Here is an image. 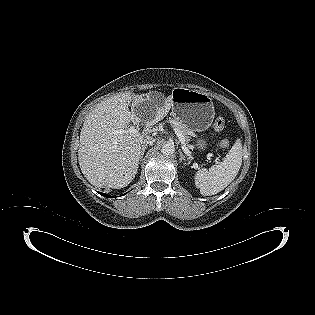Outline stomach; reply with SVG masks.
I'll return each instance as SVG.
<instances>
[{
  "mask_svg": "<svg viewBox=\"0 0 315 315\" xmlns=\"http://www.w3.org/2000/svg\"><path fill=\"white\" fill-rule=\"evenodd\" d=\"M172 116L184 123L192 132L208 129L215 116L211 97L201 91L182 87L174 88L171 93ZM208 143L202 136L196 139L195 147L205 151Z\"/></svg>",
  "mask_w": 315,
  "mask_h": 315,
  "instance_id": "stomach-1",
  "label": "stomach"
}]
</instances>
